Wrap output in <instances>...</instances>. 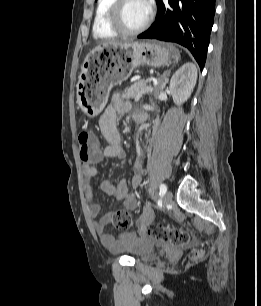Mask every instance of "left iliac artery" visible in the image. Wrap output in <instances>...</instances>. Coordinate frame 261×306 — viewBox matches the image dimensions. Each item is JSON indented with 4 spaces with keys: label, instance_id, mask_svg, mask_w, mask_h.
<instances>
[{
    "label": "left iliac artery",
    "instance_id": "obj_1",
    "mask_svg": "<svg viewBox=\"0 0 261 306\" xmlns=\"http://www.w3.org/2000/svg\"><path fill=\"white\" fill-rule=\"evenodd\" d=\"M167 191V187L165 184L160 185V195L163 196Z\"/></svg>",
    "mask_w": 261,
    "mask_h": 306
}]
</instances>
